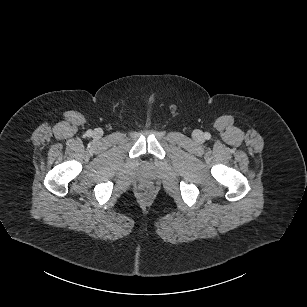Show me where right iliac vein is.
<instances>
[{
    "label": "right iliac vein",
    "instance_id": "obj_1",
    "mask_svg": "<svg viewBox=\"0 0 307 307\" xmlns=\"http://www.w3.org/2000/svg\"><path fill=\"white\" fill-rule=\"evenodd\" d=\"M101 135H102V131L101 130H96L94 132V136L97 137V138L101 137Z\"/></svg>",
    "mask_w": 307,
    "mask_h": 307
}]
</instances>
